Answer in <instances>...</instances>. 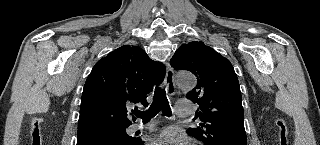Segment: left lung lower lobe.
I'll return each mask as SVG.
<instances>
[{
  "mask_svg": "<svg viewBox=\"0 0 320 145\" xmlns=\"http://www.w3.org/2000/svg\"><path fill=\"white\" fill-rule=\"evenodd\" d=\"M222 145H247V143L239 141L237 139H229L226 140Z\"/></svg>",
  "mask_w": 320,
  "mask_h": 145,
  "instance_id": "left-lung-lower-lobe-1",
  "label": "left lung lower lobe"
}]
</instances>
